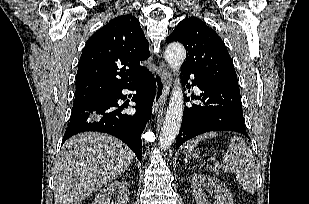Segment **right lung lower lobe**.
Instances as JSON below:
<instances>
[{
    "label": "right lung lower lobe",
    "mask_w": 309,
    "mask_h": 204,
    "mask_svg": "<svg viewBox=\"0 0 309 204\" xmlns=\"http://www.w3.org/2000/svg\"><path fill=\"white\" fill-rule=\"evenodd\" d=\"M123 89L136 90L133 96L136 113H123V106H118L119 99H126ZM155 79L149 71L137 81L89 100L74 103L71 120L64 134L62 144L72 135L85 131H98L111 134L125 142L142 160L141 134L149 121L154 97Z\"/></svg>",
    "instance_id": "1"
}]
</instances>
